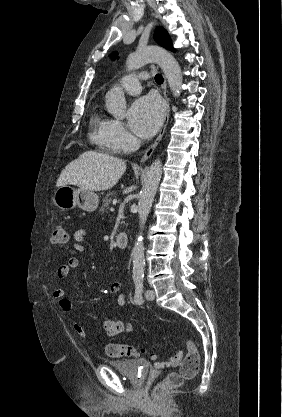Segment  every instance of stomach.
<instances>
[{
    "instance_id": "0dacf381",
    "label": "stomach",
    "mask_w": 282,
    "mask_h": 417,
    "mask_svg": "<svg viewBox=\"0 0 282 417\" xmlns=\"http://www.w3.org/2000/svg\"><path fill=\"white\" fill-rule=\"evenodd\" d=\"M53 204L60 211H71L75 209V206H79L82 211L93 213L99 204V196L93 190H83V188H73L69 184H63L55 190Z\"/></svg>"
}]
</instances>
